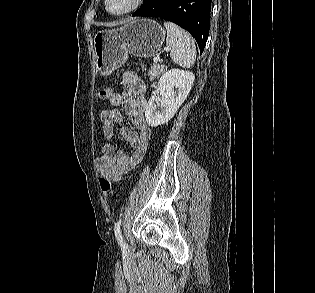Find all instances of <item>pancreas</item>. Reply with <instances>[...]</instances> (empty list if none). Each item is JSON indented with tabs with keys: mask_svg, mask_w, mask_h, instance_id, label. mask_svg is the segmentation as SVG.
<instances>
[{
	"mask_svg": "<svg viewBox=\"0 0 315 293\" xmlns=\"http://www.w3.org/2000/svg\"><path fill=\"white\" fill-rule=\"evenodd\" d=\"M167 70V67L164 65H153L151 66L149 70V76L150 80H154L155 78H158L161 74H163Z\"/></svg>",
	"mask_w": 315,
	"mask_h": 293,
	"instance_id": "cf45deb5",
	"label": "pancreas"
}]
</instances>
